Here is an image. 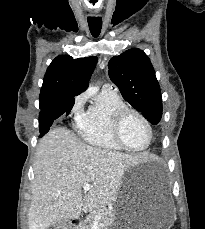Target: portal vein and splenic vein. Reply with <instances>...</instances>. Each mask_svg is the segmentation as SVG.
Listing matches in <instances>:
<instances>
[{"label": "portal vein and splenic vein", "mask_w": 205, "mask_h": 229, "mask_svg": "<svg viewBox=\"0 0 205 229\" xmlns=\"http://www.w3.org/2000/svg\"><path fill=\"white\" fill-rule=\"evenodd\" d=\"M91 185L90 184H84L83 185V190L85 191V192H87V191H89L90 189H91ZM103 217V215H96L95 216V222H97L99 219H101Z\"/></svg>", "instance_id": "portal-vein-and-splenic-vein-1"}]
</instances>
